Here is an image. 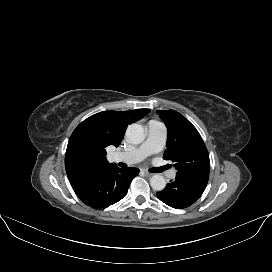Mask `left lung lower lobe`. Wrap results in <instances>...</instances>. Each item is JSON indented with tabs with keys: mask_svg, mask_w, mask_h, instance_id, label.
Instances as JSON below:
<instances>
[{
	"mask_svg": "<svg viewBox=\"0 0 272 272\" xmlns=\"http://www.w3.org/2000/svg\"><path fill=\"white\" fill-rule=\"evenodd\" d=\"M209 175H184L168 183L157 197L165 204L183 209L192 205L202 195L208 183Z\"/></svg>",
	"mask_w": 272,
	"mask_h": 272,
	"instance_id": "obj_1",
	"label": "left lung lower lobe"
}]
</instances>
